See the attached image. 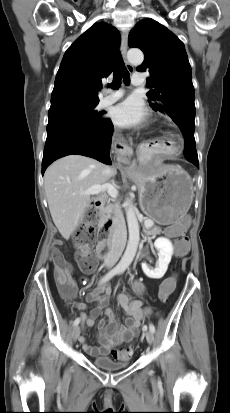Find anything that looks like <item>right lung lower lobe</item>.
I'll use <instances>...</instances> for the list:
<instances>
[{
  "instance_id": "98d812e1",
  "label": "right lung lower lobe",
  "mask_w": 230,
  "mask_h": 413,
  "mask_svg": "<svg viewBox=\"0 0 230 413\" xmlns=\"http://www.w3.org/2000/svg\"><path fill=\"white\" fill-rule=\"evenodd\" d=\"M99 127L60 128L47 133L42 160V174L56 159L79 154L112 164L110 159L113 124L109 118Z\"/></svg>"
}]
</instances>
